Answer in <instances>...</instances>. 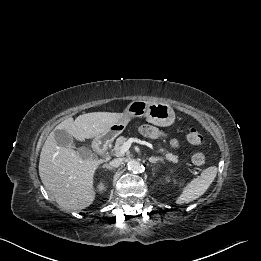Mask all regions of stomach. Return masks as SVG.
<instances>
[{"label":"stomach","instance_id":"obj_1","mask_svg":"<svg viewBox=\"0 0 261 261\" xmlns=\"http://www.w3.org/2000/svg\"><path fill=\"white\" fill-rule=\"evenodd\" d=\"M124 115L121 120L110 127L109 132L103 137L104 140L111 141L121 134L130 119L134 117L144 116L149 123L161 127L170 126L175 120V112L170 105L144 100L132 101L125 109Z\"/></svg>","mask_w":261,"mask_h":261}]
</instances>
